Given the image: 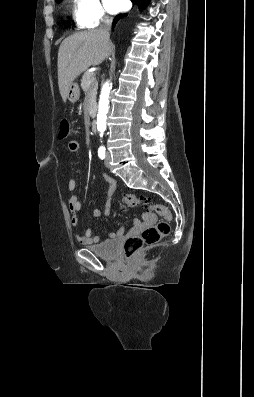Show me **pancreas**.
<instances>
[{"label":"pancreas","mask_w":254,"mask_h":397,"mask_svg":"<svg viewBox=\"0 0 254 397\" xmlns=\"http://www.w3.org/2000/svg\"><path fill=\"white\" fill-rule=\"evenodd\" d=\"M81 87L88 99L90 116H94L98 83L93 72H85L81 79Z\"/></svg>","instance_id":"obj_1"}]
</instances>
